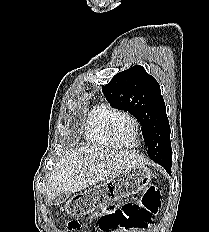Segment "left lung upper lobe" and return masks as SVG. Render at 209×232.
Instances as JSON below:
<instances>
[{"label":"left lung upper lobe","mask_w":209,"mask_h":232,"mask_svg":"<svg viewBox=\"0 0 209 232\" xmlns=\"http://www.w3.org/2000/svg\"><path fill=\"white\" fill-rule=\"evenodd\" d=\"M102 91L112 107L128 111L139 120L149 157L170 173V126L158 82L136 65L116 74Z\"/></svg>","instance_id":"5c2ea615"}]
</instances>
